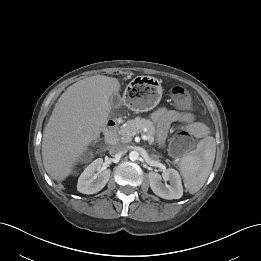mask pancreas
Wrapping results in <instances>:
<instances>
[{
    "mask_svg": "<svg viewBox=\"0 0 261 261\" xmlns=\"http://www.w3.org/2000/svg\"><path fill=\"white\" fill-rule=\"evenodd\" d=\"M143 131H145L149 137V144H153L156 134L155 126L152 121L140 117L127 121L126 124L120 128L118 131L120 142L128 143L132 140V133H142Z\"/></svg>",
    "mask_w": 261,
    "mask_h": 261,
    "instance_id": "1",
    "label": "pancreas"
}]
</instances>
